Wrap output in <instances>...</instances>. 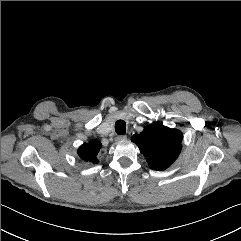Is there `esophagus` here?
Returning a JSON list of instances; mask_svg holds the SVG:
<instances>
[{
    "label": "esophagus",
    "mask_w": 241,
    "mask_h": 241,
    "mask_svg": "<svg viewBox=\"0 0 241 241\" xmlns=\"http://www.w3.org/2000/svg\"><path fill=\"white\" fill-rule=\"evenodd\" d=\"M127 139V136L126 135H118L116 137V141H123V140H126Z\"/></svg>",
    "instance_id": "esophagus-1"
}]
</instances>
